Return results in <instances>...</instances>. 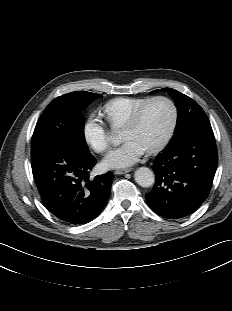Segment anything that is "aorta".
I'll list each match as a JSON object with an SVG mask.
<instances>
[{
    "label": "aorta",
    "instance_id": "obj_1",
    "mask_svg": "<svg viewBox=\"0 0 232 311\" xmlns=\"http://www.w3.org/2000/svg\"><path fill=\"white\" fill-rule=\"evenodd\" d=\"M134 177L137 184L144 188L151 187L155 182L154 173L147 167L138 168Z\"/></svg>",
    "mask_w": 232,
    "mask_h": 311
}]
</instances>
